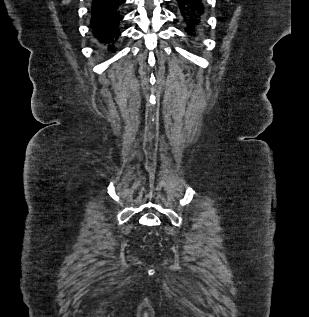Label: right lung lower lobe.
<instances>
[{
  "mask_svg": "<svg viewBox=\"0 0 309 317\" xmlns=\"http://www.w3.org/2000/svg\"><path fill=\"white\" fill-rule=\"evenodd\" d=\"M126 0H93L91 8V31L100 48L115 51L121 34L123 6Z\"/></svg>",
  "mask_w": 309,
  "mask_h": 317,
  "instance_id": "1",
  "label": "right lung lower lobe"
}]
</instances>
